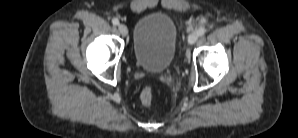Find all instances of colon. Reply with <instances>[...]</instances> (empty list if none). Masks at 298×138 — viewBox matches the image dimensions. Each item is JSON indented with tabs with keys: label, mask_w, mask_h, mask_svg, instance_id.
Returning a JSON list of instances; mask_svg holds the SVG:
<instances>
[{
	"label": "colon",
	"mask_w": 298,
	"mask_h": 138,
	"mask_svg": "<svg viewBox=\"0 0 298 138\" xmlns=\"http://www.w3.org/2000/svg\"><path fill=\"white\" fill-rule=\"evenodd\" d=\"M141 101L144 105H150L153 102V91L151 88L146 87L141 92Z\"/></svg>",
	"instance_id": "colon-1"
}]
</instances>
